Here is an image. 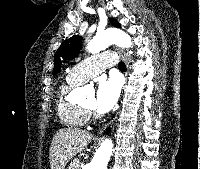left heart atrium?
<instances>
[{
  "mask_svg": "<svg viewBox=\"0 0 200 169\" xmlns=\"http://www.w3.org/2000/svg\"><path fill=\"white\" fill-rule=\"evenodd\" d=\"M120 95V83L115 78L102 80L97 88L95 106L100 113L110 111Z\"/></svg>",
  "mask_w": 200,
  "mask_h": 169,
  "instance_id": "1",
  "label": "left heart atrium"
}]
</instances>
